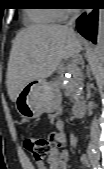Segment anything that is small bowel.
<instances>
[{"label": "small bowel", "mask_w": 104, "mask_h": 169, "mask_svg": "<svg viewBox=\"0 0 104 169\" xmlns=\"http://www.w3.org/2000/svg\"><path fill=\"white\" fill-rule=\"evenodd\" d=\"M56 127L58 131L55 135V141L58 145H63L67 140L63 130V122L58 120ZM68 159L69 153L66 149L54 147L50 152L47 162H38L36 167L37 169H67ZM80 162L85 167H89L91 164L90 158L85 154L80 157Z\"/></svg>", "instance_id": "c3829d8e"}]
</instances>
